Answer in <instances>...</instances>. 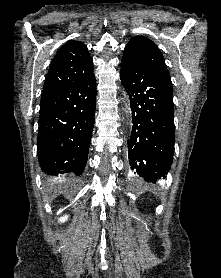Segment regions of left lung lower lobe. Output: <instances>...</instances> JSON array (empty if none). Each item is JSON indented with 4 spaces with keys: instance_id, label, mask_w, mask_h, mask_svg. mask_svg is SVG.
Here are the masks:
<instances>
[{
    "instance_id": "1",
    "label": "left lung lower lobe",
    "mask_w": 221,
    "mask_h": 278,
    "mask_svg": "<svg viewBox=\"0 0 221 278\" xmlns=\"http://www.w3.org/2000/svg\"><path fill=\"white\" fill-rule=\"evenodd\" d=\"M121 81L129 94L132 133L128 140L130 166L146 182L165 178L174 154V108L170 78L137 73L121 67Z\"/></svg>"
}]
</instances>
